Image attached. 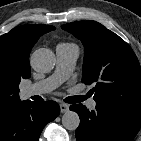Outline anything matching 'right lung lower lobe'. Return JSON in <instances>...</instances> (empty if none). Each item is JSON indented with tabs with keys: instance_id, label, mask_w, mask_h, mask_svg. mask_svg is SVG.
Here are the masks:
<instances>
[{
	"instance_id": "98d812e1",
	"label": "right lung lower lobe",
	"mask_w": 141,
	"mask_h": 141,
	"mask_svg": "<svg viewBox=\"0 0 141 141\" xmlns=\"http://www.w3.org/2000/svg\"><path fill=\"white\" fill-rule=\"evenodd\" d=\"M59 113L54 101L21 102L0 114V141H38L45 125Z\"/></svg>"
}]
</instances>
